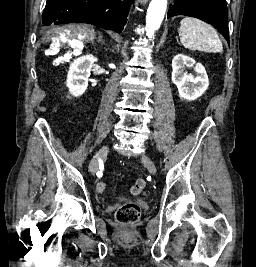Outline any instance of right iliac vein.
<instances>
[{"mask_svg":"<svg viewBox=\"0 0 256 267\" xmlns=\"http://www.w3.org/2000/svg\"><path fill=\"white\" fill-rule=\"evenodd\" d=\"M108 152H109V146L105 145L93 157L92 162H91V166H90L91 174H95L98 171L100 162L104 159L105 155H107Z\"/></svg>","mask_w":256,"mask_h":267,"instance_id":"63e3f726","label":"right iliac vein"}]
</instances>
